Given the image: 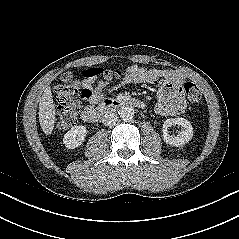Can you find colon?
I'll return each mask as SVG.
<instances>
[{
	"mask_svg": "<svg viewBox=\"0 0 239 239\" xmlns=\"http://www.w3.org/2000/svg\"><path fill=\"white\" fill-rule=\"evenodd\" d=\"M97 75L103 76L106 80H113L122 75L120 70L116 69H98ZM182 90L185 92L191 104H198L201 100L199 88L192 82H186ZM56 96L59 102L58 106V125L62 129H69L75 125L79 112L80 91L69 73L61 78V84L56 88Z\"/></svg>",
	"mask_w": 239,
	"mask_h": 239,
	"instance_id": "colon-1",
	"label": "colon"
}]
</instances>
